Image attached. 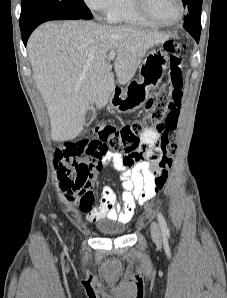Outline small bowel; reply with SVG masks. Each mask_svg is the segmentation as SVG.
Instances as JSON below:
<instances>
[{"label": "small bowel", "instance_id": "1", "mask_svg": "<svg viewBox=\"0 0 227 298\" xmlns=\"http://www.w3.org/2000/svg\"><path fill=\"white\" fill-rule=\"evenodd\" d=\"M148 103H155V98H148ZM152 104H143L142 111L150 112ZM164 125H155V130H164ZM157 137V131L147 132L143 138L144 146L150 139ZM83 139H74L73 142H61L58 150L52 154L58 168V179L65 191H71L79 178L82 182L74 188L73 194L78 193L80 209L85 213L89 222L101 219L128 222L135 213L137 203L143 205L148 202L154 193L151 185L155 178L151 173H159L158 160L152 158V153L160 154L159 149L145 150H107L110 142H88L93 134H83ZM112 166L122 182L123 192L121 202L111 186H105L101 192L100 204L92 207V188L98 174L105 166Z\"/></svg>", "mask_w": 227, "mask_h": 298}]
</instances>
